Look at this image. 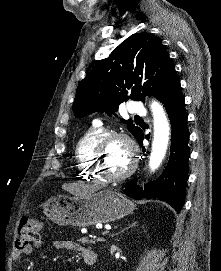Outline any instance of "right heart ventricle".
<instances>
[{
	"instance_id": "obj_1",
	"label": "right heart ventricle",
	"mask_w": 221,
	"mask_h": 271,
	"mask_svg": "<svg viewBox=\"0 0 221 271\" xmlns=\"http://www.w3.org/2000/svg\"><path fill=\"white\" fill-rule=\"evenodd\" d=\"M105 136L104 132L95 131L89 132L82 136L76 144V164H80L79 176H84V179H92L93 183H103L105 180L102 174H97V164L93 163V150H96V144H101L102 138Z\"/></svg>"
}]
</instances>
